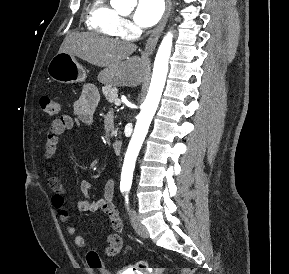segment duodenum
<instances>
[{
  "mask_svg": "<svg viewBox=\"0 0 289 274\" xmlns=\"http://www.w3.org/2000/svg\"><path fill=\"white\" fill-rule=\"evenodd\" d=\"M112 148L114 150L115 153H120L121 150H122V141L120 140H115L113 143H112Z\"/></svg>",
  "mask_w": 289,
  "mask_h": 274,
  "instance_id": "obj_1",
  "label": "duodenum"
}]
</instances>
